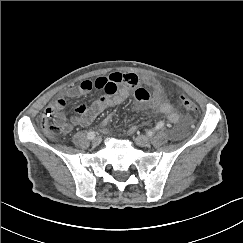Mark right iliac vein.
Listing matches in <instances>:
<instances>
[{
	"instance_id": "1",
	"label": "right iliac vein",
	"mask_w": 243,
	"mask_h": 243,
	"mask_svg": "<svg viewBox=\"0 0 243 243\" xmlns=\"http://www.w3.org/2000/svg\"><path fill=\"white\" fill-rule=\"evenodd\" d=\"M100 143H101V138H100V137H95V138H93V140H92V144H93L94 146H98Z\"/></svg>"
}]
</instances>
